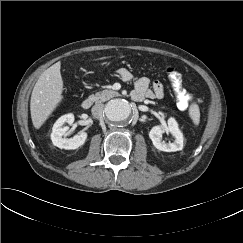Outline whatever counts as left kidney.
Listing matches in <instances>:
<instances>
[{"instance_id": "obj_1", "label": "left kidney", "mask_w": 243, "mask_h": 243, "mask_svg": "<svg viewBox=\"0 0 243 243\" xmlns=\"http://www.w3.org/2000/svg\"><path fill=\"white\" fill-rule=\"evenodd\" d=\"M164 132H169L174 137V142L162 141ZM149 137L153 145L161 151L175 152L183 148V134L179 130L176 120L172 117L168 119V126H154L149 132Z\"/></svg>"}]
</instances>
